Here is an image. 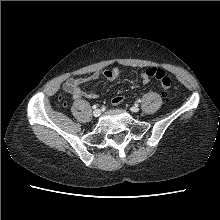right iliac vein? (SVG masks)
<instances>
[{"label": "right iliac vein", "instance_id": "1", "mask_svg": "<svg viewBox=\"0 0 220 220\" xmlns=\"http://www.w3.org/2000/svg\"><path fill=\"white\" fill-rule=\"evenodd\" d=\"M100 115H101V110L96 109V110L93 111V116L94 117H99Z\"/></svg>", "mask_w": 220, "mask_h": 220}]
</instances>
